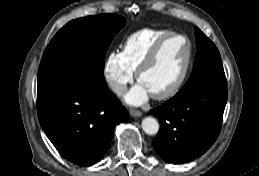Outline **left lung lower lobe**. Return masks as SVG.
<instances>
[{
    "label": "left lung lower lobe",
    "instance_id": "left-lung-lower-lobe-1",
    "mask_svg": "<svg viewBox=\"0 0 259 176\" xmlns=\"http://www.w3.org/2000/svg\"><path fill=\"white\" fill-rule=\"evenodd\" d=\"M227 97V85L205 83L151 110L160 122L153 140L157 154L166 162L181 164L205 153L221 129Z\"/></svg>",
    "mask_w": 259,
    "mask_h": 176
}]
</instances>
